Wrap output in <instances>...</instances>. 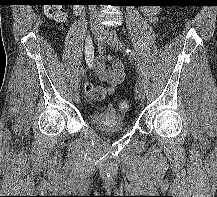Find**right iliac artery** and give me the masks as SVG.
Masks as SVG:
<instances>
[{
    "instance_id": "82829eb1",
    "label": "right iliac artery",
    "mask_w": 217,
    "mask_h": 197,
    "mask_svg": "<svg viewBox=\"0 0 217 197\" xmlns=\"http://www.w3.org/2000/svg\"><path fill=\"white\" fill-rule=\"evenodd\" d=\"M104 45H105L104 39L99 37L98 38V48H100V47H102ZM83 76H84V71L83 70L78 71V73L76 74V78H75V89L76 90L78 88H80Z\"/></svg>"
}]
</instances>
